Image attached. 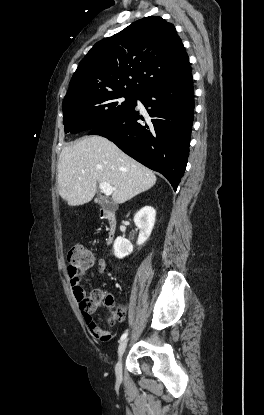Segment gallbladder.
<instances>
[{"label":"gallbladder","instance_id":"1","mask_svg":"<svg viewBox=\"0 0 264 415\" xmlns=\"http://www.w3.org/2000/svg\"><path fill=\"white\" fill-rule=\"evenodd\" d=\"M99 204L102 206V207H104V208H106L107 207V205L106 204H104L103 202H101V201H99Z\"/></svg>","mask_w":264,"mask_h":415}]
</instances>
